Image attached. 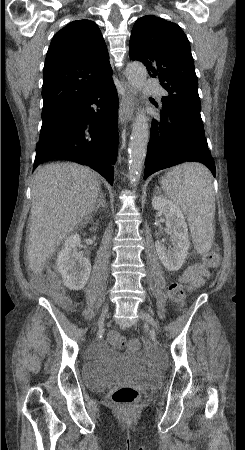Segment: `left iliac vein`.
Masks as SVG:
<instances>
[{
  "mask_svg": "<svg viewBox=\"0 0 245 450\" xmlns=\"http://www.w3.org/2000/svg\"><path fill=\"white\" fill-rule=\"evenodd\" d=\"M139 315L143 321L150 324L155 331H158V324L149 313L144 310H140Z\"/></svg>",
  "mask_w": 245,
  "mask_h": 450,
  "instance_id": "left-iliac-vein-1",
  "label": "left iliac vein"
}]
</instances>
